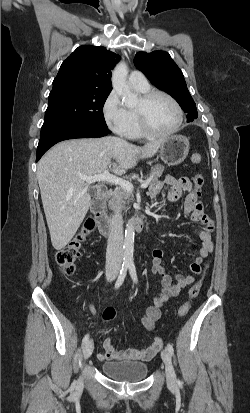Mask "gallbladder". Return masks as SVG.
<instances>
[{
	"label": "gallbladder",
	"mask_w": 250,
	"mask_h": 413,
	"mask_svg": "<svg viewBox=\"0 0 250 413\" xmlns=\"http://www.w3.org/2000/svg\"><path fill=\"white\" fill-rule=\"evenodd\" d=\"M95 192H96L95 189H92V190H91V193H92V194H95Z\"/></svg>",
	"instance_id": "bac80fb5"
}]
</instances>
